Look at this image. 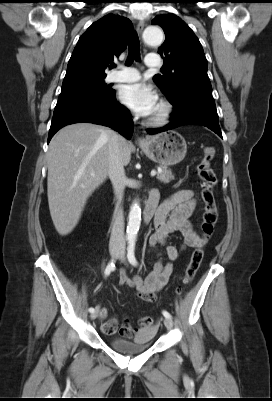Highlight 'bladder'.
I'll list each match as a JSON object with an SVG mask.
<instances>
[{"instance_id": "bladder-1", "label": "bladder", "mask_w": 272, "mask_h": 401, "mask_svg": "<svg viewBox=\"0 0 272 401\" xmlns=\"http://www.w3.org/2000/svg\"><path fill=\"white\" fill-rule=\"evenodd\" d=\"M155 332H147L144 336L134 339L133 341H125L118 337L110 338V346L127 355H135L145 352L152 342Z\"/></svg>"}]
</instances>
